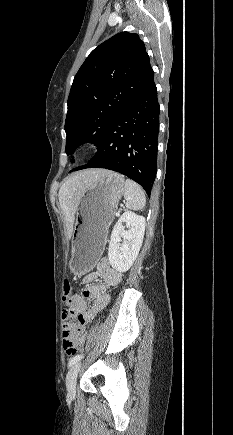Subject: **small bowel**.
<instances>
[{
	"label": "small bowel",
	"instance_id": "small-bowel-1",
	"mask_svg": "<svg viewBox=\"0 0 233 435\" xmlns=\"http://www.w3.org/2000/svg\"><path fill=\"white\" fill-rule=\"evenodd\" d=\"M98 278L100 282L94 283ZM120 281L121 274L110 266L106 258H103L99 261L97 270L84 276L85 286L81 293L73 294L67 300L68 310L63 313V329L71 326L72 330V324L68 320L79 317V322L75 324L77 346H82L86 341L88 334L86 325L109 303L108 289L118 285Z\"/></svg>",
	"mask_w": 233,
	"mask_h": 435
}]
</instances>
